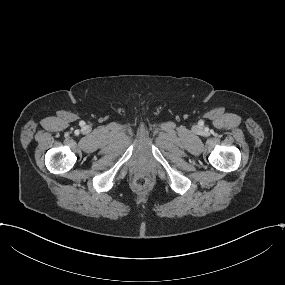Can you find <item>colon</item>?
<instances>
[{
    "label": "colon",
    "mask_w": 285,
    "mask_h": 285,
    "mask_svg": "<svg viewBox=\"0 0 285 285\" xmlns=\"http://www.w3.org/2000/svg\"><path fill=\"white\" fill-rule=\"evenodd\" d=\"M153 177L149 172L141 171L134 177L133 184L136 188L146 190L152 186Z\"/></svg>",
    "instance_id": "1"
}]
</instances>
